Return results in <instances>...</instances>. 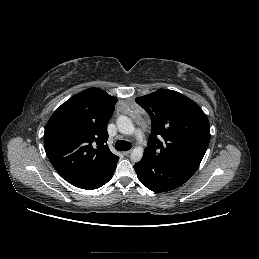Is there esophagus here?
<instances>
[{
    "instance_id": "1",
    "label": "esophagus",
    "mask_w": 259,
    "mask_h": 259,
    "mask_svg": "<svg viewBox=\"0 0 259 259\" xmlns=\"http://www.w3.org/2000/svg\"><path fill=\"white\" fill-rule=\"evenodd\" d=\"M123 154H124L125 156H129V155L131 154V150L125 151Z\"/></svg>"
}]
</instances>
